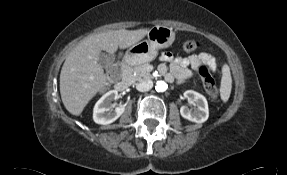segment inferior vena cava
I'll list each match as a JSON object with an SVG mask.
<instances>
[{
	"label": "inferior vena cava",
	"mask_w": 287,
	"mask_h": 175,
	"mask_svg": "<svg viewBox=\"0 0 287 175\" xmlns=\"http://www.w3.org/2000/svg\"><path fill=\"white\" fill-rule=\"evenodd\" d=\"M153 87V82L150 79L143 80L136 85V89L140 92L149 91Z\"/></svg>",
	"instance_id": "602c4592"
}]
</instances>
